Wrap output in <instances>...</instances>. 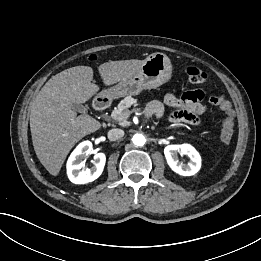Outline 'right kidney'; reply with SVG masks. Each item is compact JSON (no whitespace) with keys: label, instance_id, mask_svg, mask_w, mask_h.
Returning <instances> with one entry per match:
<instances>
[{"label":"right kidney","instance_id":"obj_1","mask_svg":"<svg viewBox=\"0 0 261 261\" xmlns=\"http://www.w3.org/2000/svg\"><path fill=\"white\" fill-rule=\"evenodd\" d=\"M91 149L92 143L90 141H84L71 153L66 167L68 178L72 183L86 184L96 180L102 174L106 162L104 153H98L94 156V167L81 170L84 167L82 160L84 156L90 154Z\"/></svg>","mask_w":261,"mask_h":261}]
</instances>
